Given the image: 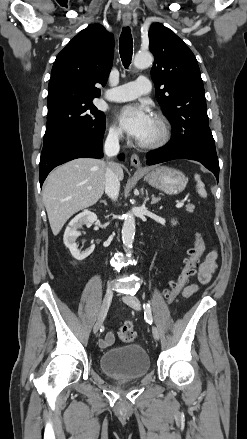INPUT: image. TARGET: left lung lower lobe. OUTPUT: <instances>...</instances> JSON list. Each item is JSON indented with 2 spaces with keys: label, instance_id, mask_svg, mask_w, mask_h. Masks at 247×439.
Masks as SVG:
<instances>
[{
  "label": "left lung lower lobe",
  "instance_id": "obj_1",
  "mask_svg": "<svg viewBox=\"0 0 247 439\" xmlns=\"http://www.w3.org/2000/svg\"><path fill=\"white\" fill-rule=\"evenodd\" d=\"M147 164L154 165L174 159H190L202 163L217 178L219 177V163L207 156L206 154L191 151L180 147L172 139L164 147L150 151L146 155Z\"/></svg>",
  "mask_w": 247,
  "mask_h": 439
}]
</instances>
